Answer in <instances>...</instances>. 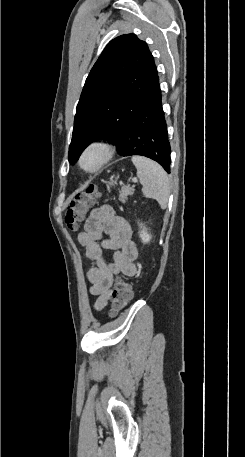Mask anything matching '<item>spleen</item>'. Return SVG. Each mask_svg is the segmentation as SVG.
Returning a JSON list of instances; mask_svg holds the SVG:
<instances>
[{"instance_id": "obj_1", "label": "spleen", "mask_w": 245, "mask_h": 457, "mask_svg": "<svg viewBox=\"0 0 245 457\" xmlns=\"http://www.w3.org/2000/svg\"><path fill=\"white\" fill-rule=\"evenodd\" d=\"M137 168V176L143 184L142 192L147 198H155L161 208H166L170 194L169 178L164 168L146 156L133 154L131 158Z\"/></svg>"}]
</instances>
